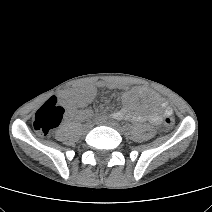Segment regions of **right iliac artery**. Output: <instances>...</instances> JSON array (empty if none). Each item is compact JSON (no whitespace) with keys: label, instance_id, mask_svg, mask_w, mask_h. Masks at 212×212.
Returning a JSON list of instances; mask_svg holds the SVG:
<instances>
[{"label":"right iliac artery","instance_id":"right-iliac-artery-1","mask_svg":"<svg viewBox=\"0 0 212 212\" xmlns=\"http://www.w3.org/2000/svg\"><path fill=\"white\" fill-rule=\"evenodd\" d=\"M100 119H95V121H99Z\"/></svg>","mask_w":212,"mask_h":212}]
</instances>
